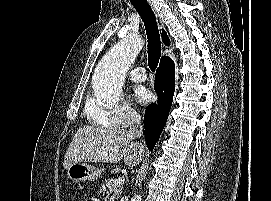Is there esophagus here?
Masks as SVG:
<instances>
[{
    "instance_id": "esophagus-1",
    "label": "esophagus",
    "mask_w": 271,
    "mask_h": 201,
    "mask_svg": "<svg viewBox=\"0 0 271 201\" xmlns=\"http://www.w3.org/2000/svg\"><path fill=\"white\" fill-rule=\"evenodd\" d=\"M148 2H149L150 6H151V8H152V10L154 12V15H155V18H156V22L158 24L159 29H162L164 27V25H163V22L161 20V17L159 16V14L155 10L154 6L152 5L151 0H148Z\"/></svg>"
}]
</instances>
